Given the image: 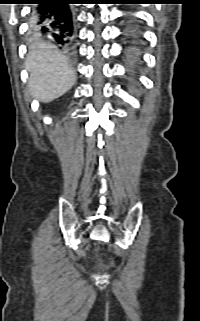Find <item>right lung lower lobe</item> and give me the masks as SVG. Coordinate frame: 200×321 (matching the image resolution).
Segmentation results:
<instances>
[{"label": "right lung lower lobe", "mask_w": 200, "mask_h": 321, "mask_svg": "<svg viewBox=\"0 0 200 321\" xmlns=\"http://www.w3.org/2000/svg\"><path fill=\"white\" fill-rule=\"evenodd\" d=\"M75 0H32V26L49 33L57 43L71 48L74 40L73 10Z\"/></svg>", "instance_id": "right-lung-lower-lobe-1"}]
</instances>
